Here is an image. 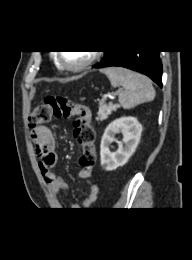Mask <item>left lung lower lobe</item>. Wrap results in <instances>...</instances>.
I'll list each match as a JSON object with an SVG mask.
<instances>
[{
	"instance_id": "left-lung-lower-lobe-1",
	"label": "left lung lower lobe",
	"mask_w": 192,
	"mask_h": 260,
	"mask_svg": "<svg viewBox=\"0 0 192 260\" xmlns=\"http://www.w3.org/2000/svg\"><path fill=\"white\" fill-rule=\"evenodd\" d=\"M158 50L107 51L94 68L121 66L150 77L162 87V63Z\"/></svg>"
}]
</instances>
